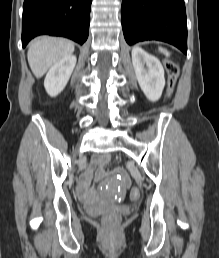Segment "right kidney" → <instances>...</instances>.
Listing matches in <instances>:
<instances>
[{
    "label": "right kidney",
    "mask_w": 219,
    "mask_h": 258,
    "mask_svg": "<svg viewBox=\"0 0 219 258\" xmlns=\"http://www.w3.org/2000/svg\"><path fill=\"white\" fill-rule=\"evenodd\" d=\"M76 61L74 55H69L50 68L44 80V87L50 96H57L63 91L74 70Z\"/></svg>",
    "instance_id": "right-kidney-1"
}]
</instances>
